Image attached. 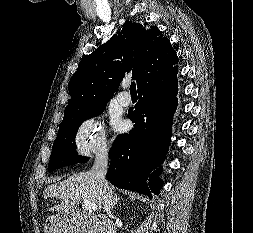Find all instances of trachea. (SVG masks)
I'll return each mask as SVG.
<instances>
[{
	"label": "trachea",
	"instance_id": "trachea-1",
	"mask_svg": "<svg viewBox=\"0 0 253 233\" xmlns=\"http://www.w3.org/2000/svg\"><path fill=\"white\" fill-rule=\"evenodd\" d=\"M130 93L131 94H137L135 82H132L131 85H130Z\"/></svg>",
	"mask_w": 253,
	"mask_h": 233
}]
</instances>
